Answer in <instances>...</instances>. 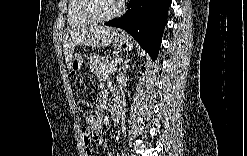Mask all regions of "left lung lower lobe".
<instances>
[{"label":"left lung lower lobe","mask_w":247,"mask_h":156,"mask_svg":"<svg viewBox=\"0 0 247 156\" xmlns=\"http://www.w3.org/2000/svg\"><path fill=\"white\" fill-rule=\"evenodd\" d=\"M170 4L171 0H130L126 13L105 25L124 29L156 60Z\"/></svg>","instance_id":"1"}]
</instances>
